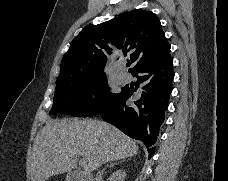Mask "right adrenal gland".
I'll return each mask as SVG.
<instances>
[{"label":"right adrenal gland","mask_w":228,"mask_h":181,"mask_svg":"<svg viewBox=\"0 0 228 181\" xmlns=\"http://www.w3.org/2000/svg\"><path fill=\"white\" fill-rule=\"evenodd\" d=\"M125 159H121V161H113V163H110V165H107V167H109V169H113V167H115V165H119V163H124ZM129 161V159H128ZM107 167H104L103 171H106Z\"/></svg>","instance_id":"obj_1"}]
</instances>
